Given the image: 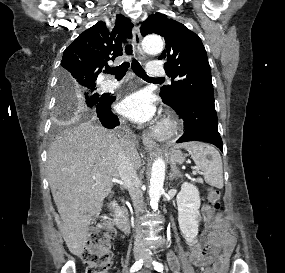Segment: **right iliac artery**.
<instances>
[{"instance_id":"1","label":"right iliac artery","mask_w":285,"mask_h":273,"mask_svg":"<svg viewBox=\"0 0 285 273\" xmlns=\"http://www.w3.org/2000/svg\"><path fill=\"white\" fill-rule=\"evenodd\" d=\"M143 265V260L140 259L139 261H136L133 266L130 268V273H134L138 271Z\"/></svg>"}]
</instances>
